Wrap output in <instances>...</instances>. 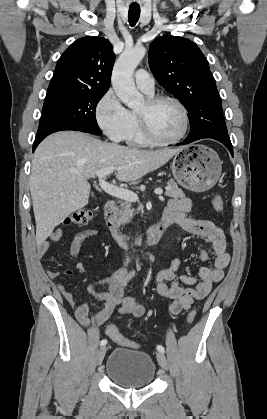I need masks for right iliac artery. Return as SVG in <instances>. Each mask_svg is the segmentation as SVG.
<instances>
[{"instance_id": "1", "label": "right iliac artery", "mask_w": 267, "mask_h": 419, "mask_svg": "<svg viewBox=\"0 0 267 419\" xmlns=\"http://www.w3.org/2000/svg\"><path fill=\"white\" fill-rule=\"evenodd\" d=\"M106 344H107V340H106V339L101 340V342H100V345H101V346H104V345H106Z\"/></svg>"}]
</instances>
